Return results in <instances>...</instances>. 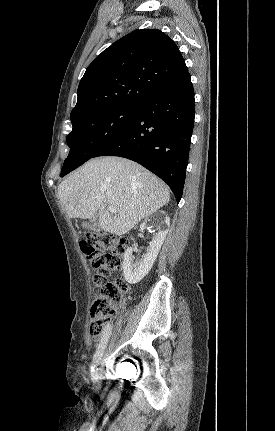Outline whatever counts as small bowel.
I'll use <instances>...</instances> for the list:
<instances>
[{"label": "small bowel", "instance_id": "c3829d8e", "mask_svg": "<svg viewBox=\"0 0 275 431\" xmlns=\"http://www.w3.org/2000/svg\"><path fill=\"white\" fill-rule=\"evenodd\" d=\"M108 324V323H107ZM94 340H98V337H95Z\"/></svg>", "mask_w": 275, "mask_h": 431}]
</instances>
